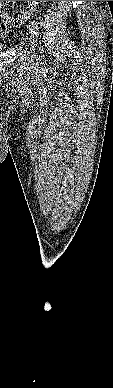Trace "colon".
<instances>
[{
  "mask_svg": "<svg viewBox=\"0 0 113 388\" xmlns=\"http://www.w3.org/2000/svg\"><path fill=\"white\" fill-rule=\"evenodd\" d=\"M40 1H30L28 7L21 10L15 15L4 14L0 18V28L6 29L23 24L28 17L34 12Z\"/></svg>",
  "mask_w": 113,
  "mask_h": 388,
  "instance_id": "obj_1",
  "label": "colon"
}]
</instances>
